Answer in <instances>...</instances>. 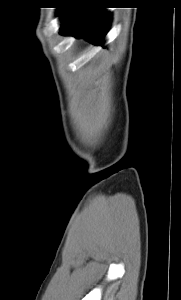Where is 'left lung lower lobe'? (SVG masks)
Instances as JSON below:
<instances>
[{
  "instance_id": "1",
  "label": "left lung lower lobe",
  "mask_w": 181,
  "mask_h": 300,
  "mask_svg": "<svg viewBox=\"0 0 181 300\" xmlns=\"http://www.w3.org/2000/svg\"><path fill=\"white\" fill-rule=\"evenodd\" d=\"M58 14L63 16L62 35L84 37L95 45H102L110 24V14L103 6L90 0L77 1L60 7Z\"/></svg>"
}]
</instances>
